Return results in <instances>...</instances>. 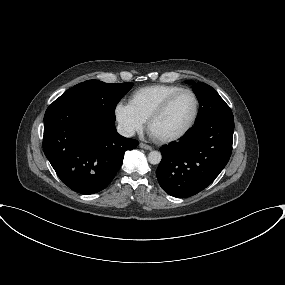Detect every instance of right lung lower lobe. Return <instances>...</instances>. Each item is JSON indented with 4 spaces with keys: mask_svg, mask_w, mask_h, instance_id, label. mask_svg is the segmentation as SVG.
<instances>
[{
    "mask_svg": "<svg viewBox=\"0 0 285 285\" xmlns=\"http://www.w3.org/2000/svg\"><path fill=\"white\" fill-rule=\"evenodd\" d=\"M137 145V140L119 135L111 120L77 105L55 100L45 112V156L60 180L77 193L103 190L124 152Z\"/></svg>",
    "mask_w": 285,
    "mask_h": 285,
    "instance_id": "right-lung-lower-lobe-1",
    "label": "right lung lower lobe"
}]
</instances>
